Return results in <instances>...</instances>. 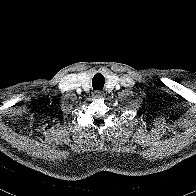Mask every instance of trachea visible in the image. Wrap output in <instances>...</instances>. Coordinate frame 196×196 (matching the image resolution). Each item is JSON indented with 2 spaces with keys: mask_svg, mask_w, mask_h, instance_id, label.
I'll return each instance as SVG.
<instances>
[{
  "mask_svg": "<svg viewBox=\"0 0 196 196\" xmlns=\"http://www.w3.org/2000/svg\"><path fill=\"white\" fill-rule=\"evenodd\" d=\"M105 84V78L102 74L97 73L92 79V86L94 90H102Z\"/></svg>",
  "mask_w": 196,
  "mask_h": 196,
  "instance_id": "obj_1",
  "label": "trachea"
}]
</instances>
